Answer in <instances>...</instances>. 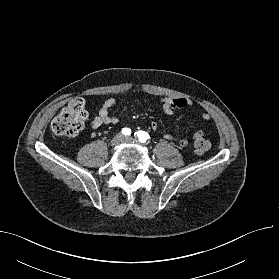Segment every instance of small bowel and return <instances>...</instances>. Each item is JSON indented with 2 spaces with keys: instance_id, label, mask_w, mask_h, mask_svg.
I'll list each match as a JSON object with an SVG mask.
<instances>
[{
  "instance_id": "c3829d8e",
  "label": "small bowel",
  "mask_w": 279,
  "mask_h": 279,
  "mask_svg": "<svg viewBox=\"0 0 279 279\" xmlns=\"http://www.w3.org/2000/svg\"><path fill=\"white\" fill-rule=\"evenodd\" d=\"M115 100L110 98L104 101L102 106L99 109L98 114L91 120L90 126L93 129H97L102 125L108 124H116L118 122V117L112 115L110 110L115 105ZM183 108H193L195 109L191 100L186 98H177V97H165L162 98L159 102L158 109L166 115H171L176 109H183ZM201 119L203 121H207L209 119V115L207 113H201ZM151 128L156 130L158 128V124L156 122L151 123ZM203 136V129H200L195 133L192 140H196L198 137ZM168 140L177 141L181 147H188L192 140L190 139H176L171 135H166Z\"/></svg>"
}]
</instances>
